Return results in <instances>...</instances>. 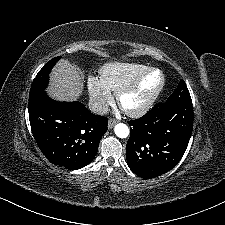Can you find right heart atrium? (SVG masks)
I'll return each mask as SVG.
<instances>
[{
	"mask_svg": "<svg viewBox=\"0 0 225 225\" xmlns=\"http://www.w3.org/2000/svg\"><path fill=\"white\" fill-rule=\"evenodd\" d=\"M86 87L90 98L98 106L101 107L112 100L110 89L100 78L89 76L86 81Z\"/></svg>",
	"mask_w": 225,
	"mask_h": 225,
	"instance_id": "1",
	"label": "right heart atrium"
}]
</instances>
